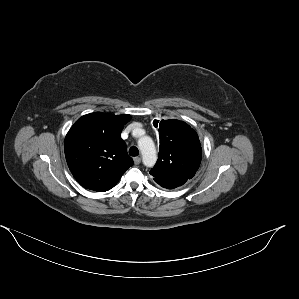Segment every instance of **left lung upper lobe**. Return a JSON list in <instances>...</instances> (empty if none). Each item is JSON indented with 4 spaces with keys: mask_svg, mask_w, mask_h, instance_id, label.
<instances>
[{
    "mask_svg": "<svg viewBox=\"0 0 299 299\" xmlns=\"http://www.w3.org/2000/svg\"><path fill=\"white\" fill-rule=\"evenodd\" d=\"M159 136L158 160L150 174L158 179L194 177L202 155L197 133L185 122L161 120Z\"/></svg>",
    "mask_w": 299,
    "mask_h": 299,
    "instance_id": "5c2ea615",
    "label": "left lung upper lobe"
}]
</instances>
